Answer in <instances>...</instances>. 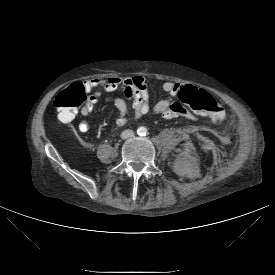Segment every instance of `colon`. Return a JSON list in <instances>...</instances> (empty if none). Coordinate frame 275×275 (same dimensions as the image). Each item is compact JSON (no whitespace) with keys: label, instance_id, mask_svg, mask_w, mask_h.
Returning a JSON list of instances; mask_svg holds the SVG:
<instances>
[{"label":"colon","instance_id":"obj_1","mask_svg":"<svg viewBox=\"0 0 275 275\" xmlns=\"http://www.w3.org/2000/svg\"><path fill=\"white\" fill-rule=\"evenodd\" d=\"M178 98L195 113L206 115L213 121H221L226 116L223 105L203 89L185 86L179 91ZM86 100L87 97L81 84L72 85L57 94L53 106L59 117L70 121L75 117L77 111L81 107L83 108Z\"/></svg>","mask_w":275,"mask_h":275}]
</instances>
